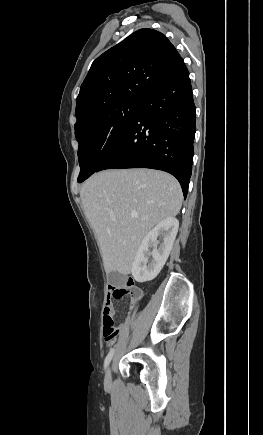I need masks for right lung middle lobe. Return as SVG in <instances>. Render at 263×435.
<instances>
[{"label": "right lung middle lobe", "instance_id": "obj_1", "mask_svg": "<svg viewBox=\"0 0 263 435\" xmlns=\"http://www.w3.org/2000/svg\"><path fill=\"white\" fill-rule=\"evenodd\" d=\"M143 100L124 99L104 105L93 111L85 121L75 127L79 143L78 182L90 177L119 142Z\"/></svg>", "mask_w": 263, "mask_h": 435}]
</instances>
